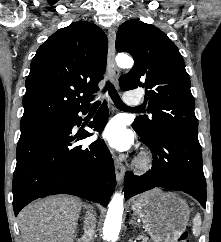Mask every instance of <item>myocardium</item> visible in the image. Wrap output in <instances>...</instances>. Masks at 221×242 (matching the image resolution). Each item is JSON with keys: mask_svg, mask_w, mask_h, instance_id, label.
Segmentation results:
<instances>
[{"mask_svg": "<svg viewBox=\"0 0 221 242\" xmlns=\"http://www.w3.org/2000/svg\"><path fill=\"white\" fill-rule=\"evenodd\" d=\"M151 162H152L151 156L148 155L147 153H144L138 158L136 165L139 169L146 170L150 167Z\"/></svg>", "mask_w": 221, "mask_h": 242, "instance_id": "1", "label": "myocardium"}]
</instances>
